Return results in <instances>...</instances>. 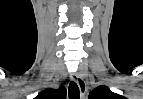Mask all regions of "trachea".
<instances>
[{"label": "trachea", "mask_w": 143, "mask_h": 99, "mask_svg": "<svg viewBox=\"0 0 143 99\" xmlns=\"http://www.w3.org/2000/svg\"><path fill=\"white\" fill-rule=\"evenodd\" d=\"M68 96L69 99H79L80 98V91L78 85L71 81L68 87Z\"/></svg>", "instance_id": "obj_1"}]
</instances>
